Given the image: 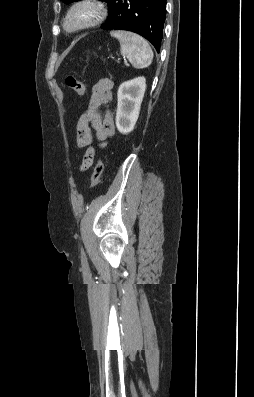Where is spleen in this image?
<instances>
[{
  "label": "spleen",
  "mask_w": 254,
  "mask_h": 397,
  "mask_svg": "<svg viewBox=\"0 0 254 397\" xmlns=\"http://www.w3.org/2000/svg\"><path fill=\"white\" fill-rule=\"evenodd\" d=\"M110 35L118 39L121 55L127 57L135 68H144L152 63L153 51L143 37L123 30L111 31Z\"/></svg>",
  "instance_id": "3e777b00"
}]
</instances>
